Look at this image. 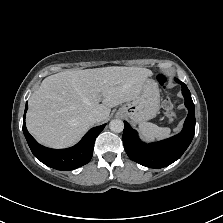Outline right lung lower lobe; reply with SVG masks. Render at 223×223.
I'll list each match as a JSON object with an SVG mask.
<instances>
[{"instance_id": "98d812e1", "label": "right lung lower lobe", "mask_w": 223, "mask_h": 223, "mask_svg": "<svg viewBox=\"0 0 223 223\" xmlns=\"http://www.w3.org/2000/svg\"><path fill=\"white\" fill-rule=\"evenodd\" d=\"M28 108L26 103L23 117V132L34 156L45 165L62 171L73 170L87 164L92 158L96 137L104 129L105 124L89 130L82 140L68 149H50L40 145L27 131L25 115Z\"/></svg>"}]
</instances>
